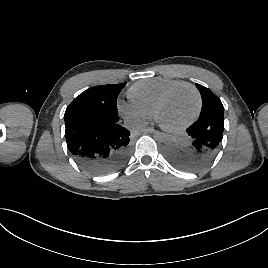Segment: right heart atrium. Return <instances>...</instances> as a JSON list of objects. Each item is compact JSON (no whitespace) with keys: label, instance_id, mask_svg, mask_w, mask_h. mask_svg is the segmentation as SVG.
Masks as SVG:
<instances>
[{"label":"right heart atrium","instance_id":"1","mask_svg":"<svg viewBox=\"0 0 268 268\" xmlns=\"http://www.w3.org/2000/svg\"><path fill=\"white\" fill-rule=\"evenodd\" d=\"M119 110L127 120L137 125L145 124L152 116L151 113L132 102L121 101Z\"/></svg>","mask_w":268,"mask_h":268}]
</instances>
